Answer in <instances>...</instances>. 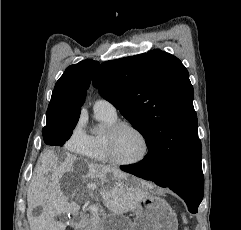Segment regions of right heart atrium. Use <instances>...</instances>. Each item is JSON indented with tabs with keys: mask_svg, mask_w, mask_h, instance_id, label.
<instances>
[{
	"mask_svg": "<svg viewBox=\"0 0 241 230\" xmlns=\"http://www.w3.org/2000/svg\"><path fill=\"white\" fill-rule=\"evenodd\" d=\"M88 142L89 135L85 132L83 125L78 123L66 140L65 146L71 152L83 154L88 147Z\"/></svg>",
	"mask_w": 241,
	"mask_h": 230,
	"instance_id": "1",
	"label": "right heart atrium"
}]
</instances>
